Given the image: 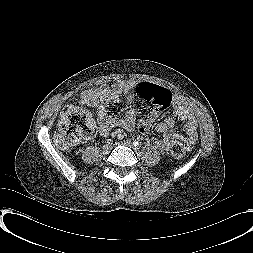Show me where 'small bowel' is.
Returning a JSON list of instances; mask_svg holds the SVG:
<instances>
[{
  "label": "small bowel",
  "mask_w": 253,
  "mask_h": 253,
  "mask_svg": "<svg viewBox=\"0 0 253 253\" xmlns=\"http://www.w3.org/2000/svg\"><path fill=\"white\" fill-rule=\"evenodd\" d=\"M148 98V103L153 109L146 119L140 120L137 130L142 135L149 134L153 129V120L157 112L167 111L172 104V94L166 88H161L150 82L137 80L118 81L114 87H100L98 89L85 90L80 94L78 105H71L83 111L89 124L94 128L96 123L101 136H107L114 127H122L127 130H134L136 127V113L129 110L124 117L119 118L109 114V106L119 102L123 93L128 104L134 101L133 90ZM86 107L92 108V110ZM95 113L97 119L93 117ZM176 120L185 122V135L173 131ZM155 131L161 135V139L153 142V149L161 154L167 153L174 144H180L186 152L192 150L198 140V124L193 116L190 107L180 96L173 97V111L164 121L155 125Z\"/></svg>",
  "instance_id": "obj_1"
}]
</instances>
